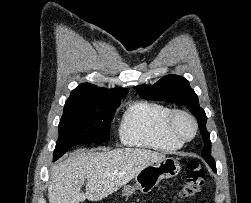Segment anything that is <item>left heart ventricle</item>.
I'll use <instances>...</instances> for the list:
<instances>
[{
  "instance_id": "obj_1",
  "label": "left heart ventricle",
  "mask_w": 251,
  "mask_h": 203,
  "mask_svg": "<svg viewBox=\"0 0 251 203\" xmlns=\"http://www.w3.org/2000/svg\"><path fill=\"white\" fill-rule=\"evenodd\" d=\"M176 127L180 134L186 137L190 136L193 132V126L191 122L184 116H180L177 119Z\"/></svg>"
}]
</instances>
